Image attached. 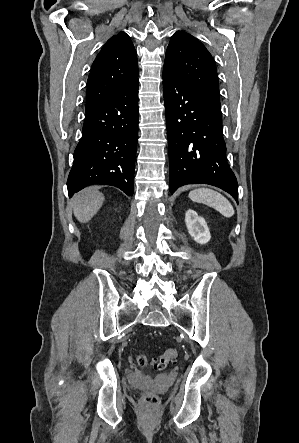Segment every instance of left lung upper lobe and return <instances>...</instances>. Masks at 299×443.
<instances>
[{
    "label": "left lung upper lobe",
    "mask_w": 299,
    "mask_h": 443,
    "mask_svg": "<svg viewBox=\"0 0 299 443\" xmlns=\"http://www.w3.org/2000/svg\"><path fill=\"white\" fill-rule=\"evenodd\" d=\"M164 68L220 103L215 62L204 45L192 35L177 31L172 36L166 51Z\"/></svg>",
    "instance_id": "left-lung-upper-lobe-1"
}]
</instances>
